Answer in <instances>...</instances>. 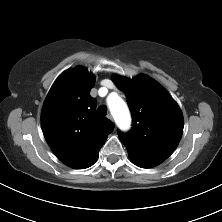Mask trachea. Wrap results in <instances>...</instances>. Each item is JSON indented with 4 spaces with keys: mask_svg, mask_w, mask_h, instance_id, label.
Listing matches in <instances>:
<instances>
[{
    "mask_svg": "<svg viewBox=\"0 0 222 222\" xmlns=\"http://www.w3.org/2000/svg\"><path fill=\"white\" fill-rule=\"evenodd\" d=\"M98 113L101 116H105L107 114V107L105 105H101L98 107Z\"/></svg>",
    "mask_w": 222,
    "mask_h": 222,
    "instance_id": "trachea-1",
    "label": "trachea"
}]
</instances>
